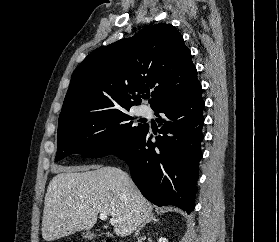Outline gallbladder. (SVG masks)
I'll list each match as a JSON object with an SVG mask.
<instances>
[{"label":"gallbladder","mask_w":279,"mask_h":242,"mask_svg":"<svg viewBox=\"0 0 279 242\" xmlns=\"http://www.w3.org/2000/svg\"><path fill=\"white\" fill-rule=\"evenodd\" d=\"M82 236L85 239L92 240V239L96 238L98 235L95 233H91L90 231H86V232L82 233Z\"/></svg>","instance_id":"obj_1"}]
</instances>
